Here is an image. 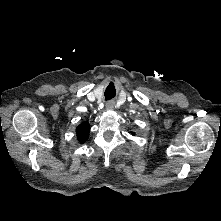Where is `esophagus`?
I'll return each instance as SVG.
<instances>
[{"instance_id":"esophagus-1","label":"esophagus","mask_w":221,"mask_h":221,"mask_svg":"<svg viewBox=\"0 0 221 221\" xmlns=\"http://www.w3.org/2000/svg\"><path fill=\"white\" fill-rule=\"evenodd\" d=\"M113 107H114V102L109 101V102L106 103V108L107 109H113Z\"/></svg>"}]
</instances>
